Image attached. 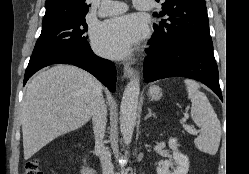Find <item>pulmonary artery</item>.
<instances>
[{
    "mask_svg": "<svg viewBox=\"0 0 249 174\" xmlns=\"http://www.w3.org/2000/svg\"><path fill=\"white\" fill-rule=\"evenodd\" d=\"M151 0H133L134 8L139 11H149L151 9ZM127 6L123 2L102 0L100 8L98 9V15L100 17L117 15L125 12Z\"/></svg>",
    "mask_w": 249,
    "mask_h": 174,
    "instance_id": "e3ab8cb5",
    "label": "pulmonary artery"
}]
</instances>
